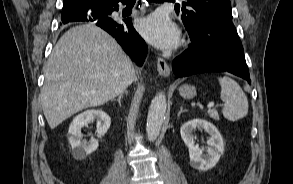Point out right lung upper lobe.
I'll return each instance as SVG.
<instances>
[{
    "instance_id": "obj_1",
    "label": "right lung upper lobe",
    "mask_w": 293,
    "mask_h": 184,
    "mask_svg": "<svg viewBox=\"0 0 293 184\" xmlns=\"http://www.w3.org/2000/svg\"><path fill=\"white\" fill-rule=\"evenodd\" d=\"M110 1L112 0H64L62 18L73 16L80 10L92 8Z\"/></svg>"
}]
</instances>
